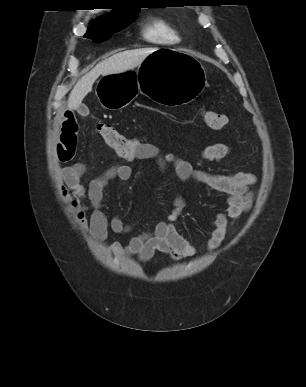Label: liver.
I'll list each match as a JSON object with an SVG mask.
<instances>
[{"mask_svg":"<svg viewBox=\"0 0 306 387\" xmlns=\"http://www.w3.org/2000/svg\"><path fill=\"white\" fill-rule=\"evenodd\" d=\"M155 50L152 48L127 50L101 61L76 83L68 98V108L76 110L80 107L82 100L92 91L93 83L100 75L122 73L138 67Z\"/></svg>","mask_w":306,"mask_h":387,"instance_id":"liver-1","label":"liver"}]
</instances>
